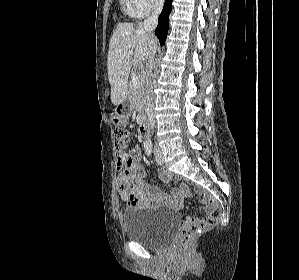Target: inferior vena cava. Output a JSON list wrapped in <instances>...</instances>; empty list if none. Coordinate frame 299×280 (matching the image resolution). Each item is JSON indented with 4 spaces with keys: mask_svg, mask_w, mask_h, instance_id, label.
Listing matches in <instances>:
<instances>
[{
    "mask_svg": "<svg viewBox=\"0 0 299 280\" xmlns=\"http://www.w3.org/2000/svg\"><path fill=\"white\" fill-rule=\"evenodd\" d=\"M163 4H164V0H156L154 13L150 17H148L147 19L144 20L143 28L151 36H153V31H154V29L156 28V26L158 24V17L160 15L161 11H162ZM155 53H156V45L151 47V52H150V55H149L148 75L150 74L151 69H152V63H153V60H154ZM145 111H146L147 116H148L149 125H150L151 129H153L154 126H155L153 105L151 104V102L149 100H147V105H146V110Z\"/></svg>",
    "mask_w": 299,
    "mask_h": 280,
    "instance_id": "602c4592",
    "label": "inferior vena cava"
}]
</instances>
